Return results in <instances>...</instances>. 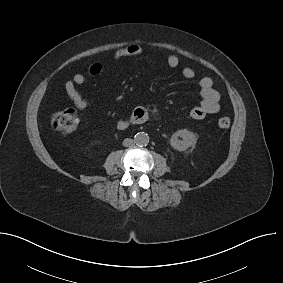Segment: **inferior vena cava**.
<instances>
[{
  "label": "inferior vena cava",
  "mask_w": 283,
  "mask_h": 283,
  "mask_svg": "<svg viewBox=\"0 0 283 283\" xmlns=\"http://www.w3.org/2000/svg\"><path fill=\"white\" fill-rule=\"evenodd\" d=\"M134 144H135V141L133 139H130V138H126L123 141V146H125V147H130Z\"/></svg>",
  "instance_id": "inferior-vena-cava-1"
}]
</instances>
